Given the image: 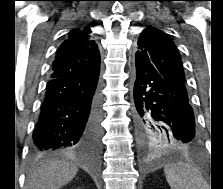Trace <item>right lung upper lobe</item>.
<instances>
[{"label":"right lung upper lobe","instance_id":"obj_1","mask_svg":"<svg viewBox=\"0 0 223 189\" xmlns=\"http://www.w3.org/2000/svg\"><path fill=\"white\" fill-rule=\"evenodd\" d=\"M90 34L89 27L69 32L56 53L50 79L82 77L99 70V50Z\"/></svg>","mask_w":223,"mask_h":189}]
</instances>
